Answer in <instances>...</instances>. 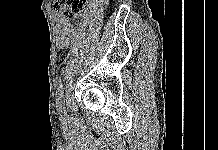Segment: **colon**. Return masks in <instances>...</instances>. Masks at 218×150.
Masks as SVG:
<instances>
[{"instance_id":"1","label":"colon","mask_w":218,"mask_h":150,"mask_svg":"<svg viewBox=\"0 0 218 150\" xmlns=\"http://www.w3.org/2000/svg\"><path fill=\"white\" fill-rule=\"evenodd\" d=\"M87 0H56L55 10L64 18L71 20L77 18L82 12Z\"/></svg>"}]
</instances>
